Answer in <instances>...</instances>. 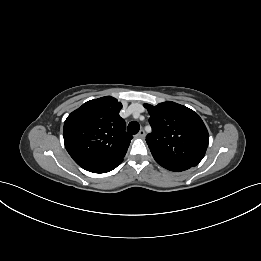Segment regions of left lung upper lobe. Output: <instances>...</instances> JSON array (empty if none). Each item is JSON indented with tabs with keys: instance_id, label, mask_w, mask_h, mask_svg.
<instances>
[{
	"instance_id": "1",
	"label": "left lung upper lobe",
	"mask_w": 261,
	"mask_h": 261,
	"mask_svg": "<svg viewBox=\"0 0 261 261\" xmlns=\"http://www.w3.org/2000/svg\"><path fill=\"white\" fill-rule=\"evenodd\" d=\"M150 114L152 133L146 142L152 154L196 166L204 157L209 135L193 110L175 102L144 104Z\"/></svg>"
}]
</instances>
